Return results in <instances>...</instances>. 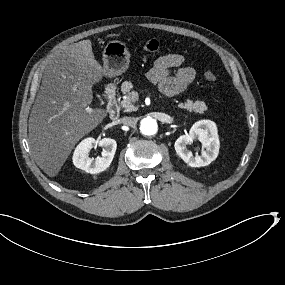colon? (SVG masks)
Here are the masks:
<instances>
[{"instance_id": "1", "label": "colon", "mask_w": 285, "mask_h": 285, "mask_svg": "<svg viewBox=\"0 0 285 285\" xmlns=\"http://www.w3.org/2000/svg\"><path fill=\"white\" fill-rule=\"evenodd\" d=\"M143 50L149 53H155L159 51L161 45L160 42L156 39H149L143 42L142 44ZM204 77L209 82H215L216 81V75L211 71H206L204 73Z\"/></svg>"}]
</instances>
